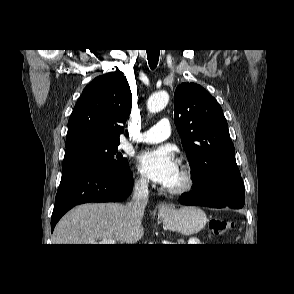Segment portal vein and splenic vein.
Instances as JSON below:
<instances>
[{
	"label": "portal vein and splenic vein",
	"mask_w": 294,
	"mask_h": 294,
	"mask_svg": "<svg viewBox=\"0 0 294 294\" xmlns=\"http://www.w3.org/2000/svg\"><path fill=\"white\" fill-rule=\"evenodd\" d=\"M99 244H106V245H112L116 244V240L110 239V238H105L99 242Z\"/></svg>",
	"instance_id": "18ae733b"
}]
</instances>
